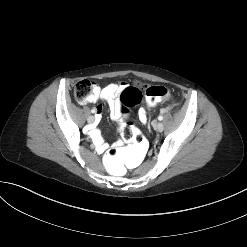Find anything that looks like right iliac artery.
Listing matches in <instances>:
<instances>
[{
    "mask_svg": "<svg viewBox=\"0 0 247 247\" xmlns=\"http://www.w3.org/2000/svg\"><path fill=\"white\" fill-rule=\"evenodd\" d=\"M91 113H96V110H95V109H92V110H91Z\"/></svg>",
    "mask_w": 247,
    "mask_h": 247,
    "instance_id": "obj_1",
    "label": "right iliac artery"
}]
</instances>
